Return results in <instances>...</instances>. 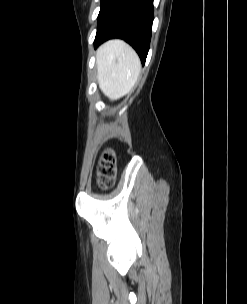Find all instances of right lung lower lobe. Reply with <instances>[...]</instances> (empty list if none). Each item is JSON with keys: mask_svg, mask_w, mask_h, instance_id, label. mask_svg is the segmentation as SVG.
Segmentation results:
<instances>
[{"mask_svg": "<svg viewBox=\"0 0 247 304\" xmlns=\"http://www.w3.org/2000/svg\"><path fill=\"white\" fill-rule=\"evenodd\" d=\"M153 0H101L97 34V48L111 38H121L138 53L144 65L152 32Z\"/></svg>", "mask_w": 247, "mask_h": 304, "instance_id": "right-lung-lower-lobe-1", "label": "right lung lower lobe"}]
</instances>
